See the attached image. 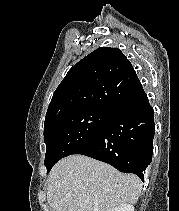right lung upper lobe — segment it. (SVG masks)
<instances>
[{
  "label": "right lung upper lobe",
  "mask_w": 179,
  "mask_h": 211,
  "mask_svg": "<svg viewBox=\"0 0 179 211\" xmlns=\"http://www.w3.org/2000/svg\"><path fill=\"white\" fill-rule=\"evenodd\" d=\"M141 87L130 61L119 49L98 48L74 65L57 87L45 126L89 108L115 109Z\"/></svg>",
  "instance_id": "cb5924a9"
}]
</instances>
